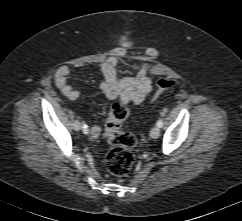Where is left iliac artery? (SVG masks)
Here are the masks:
<instances>
[{"instance_id": "obj_1", "label": "left iliac artery", "mask_w": 242, "mask_h": 221, "mask_svg": "<svg viewBox=\"0 0 242 221\" xmlns=\"http://www.w3.org/2000/svg\"><path fill=\"white\" fill-rule=\"evenodd\" d=\"M157 126H158L159 128H161V127L163 126V120H162V119L158 120V122H157Z\"/></svg>"}]
</instances>
